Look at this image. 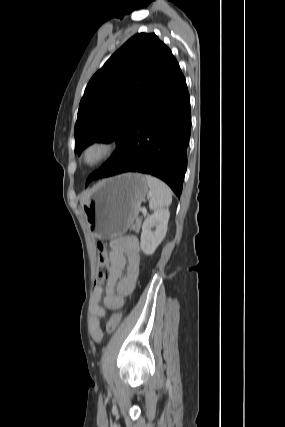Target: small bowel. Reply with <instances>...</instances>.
I'll use <instances>...</instances> for the list:
<instances>
[{
	"label": "small bowel",
	"mask_w": 285,
	"mask_h": 427,
	"mask_svg": "<svg viewBox=\"0 0 285 427\" xmlns=\"http://www.w3.org/2000/svg\"><path fill=\"white\" fill-rule=\"evenodd\" d=\"M142 253L136 236H123L111 243L110 270L106 284L96 287L91 296L93 321L91 334L96 342L104 337L101 319L106 316L105 309L100 305L103 300L105 307L116 310L123 306L124 297L132 293L136 279L142 266ZM125 271V275H122Z\"/></svg>",
	"instance_id": "obj_1"
}]
</instances>
